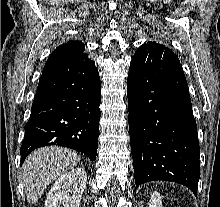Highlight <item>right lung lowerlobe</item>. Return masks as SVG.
<instances>
[{
  "label": "right lung lower lobe",
  "mask_w": 220,
  "mask_h": 207,
  "mask_svg": "<svg viewBox=\"0 0 220 207\" xmlns=\"http://www.w3.org/2000/svg\"><path fill=\"white\" fill-rule=\"evenodd\" d=\"M100 77L86 53L48 59L25 125L21 164L33 150L64 146L96 159L100 120Z\"/></svg>",
  "instance_id": "obj_1"
}]
</instances>
